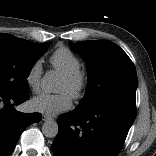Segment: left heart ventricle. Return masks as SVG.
Wrapping results in <instances>:
<instances>
[{"instance_id": "left-heart-ventricle-1", "label": "left heart ventricle", "mask_w": 156, "mask_h": 156, "mask_svg": "<svg viewBox=\"0 0 156 156\" xmlns=\"http://www.w3.org/2000/svg\"><path fill=\"white\" fill-rule=\"evenodd\" d=\"M57 91L58 92H65V93L70 95V86L68 85V83L63 78L59 82Z\"/></svg>"}]
</instances>
